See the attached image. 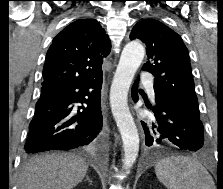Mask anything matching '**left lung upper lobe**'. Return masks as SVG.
<instances>
[{
    "instance_id": "left-lung-upper-lobe-1",
    "label": "left lung upper lobe",
    "mask_w": 223,
    "mask_h": 189,
    "mask_svg": "<svg viewBox=\"0 0 223 189\" xmlns=\"http://www.w3.org/2000/svg\"><path fill=\"white\" fill-rule=\"evenodd\" d=\"M130 39L145 43L148 61L142 66L154 77L157 96L167 105L200 118L190 57L182 38L163 23L145 19L138 22Z\"/></svg>"
}]
</instances>
